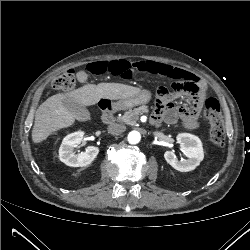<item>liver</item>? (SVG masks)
<instances>
[{"label": "liver", "instance_id": "obj_1", "mask_svg": "<svg viewBox=\"0 0 250 250\" xmlns=\"http://www.w3.org/2000/svg\"><path fill=\"white\" fill-rule=\"evenodd\" d=\"M140 88L120 83L87 84L66 94H55L43 102L35 113L32 141L40 143L53 132L74 124L75 117L63 106L65 98H71L84 106H92L100 99L118 100L132 97Z\"/></svg>", "mask_w": 250, "mask_h": 250}]
</instances>
